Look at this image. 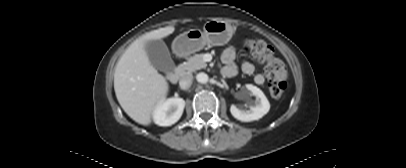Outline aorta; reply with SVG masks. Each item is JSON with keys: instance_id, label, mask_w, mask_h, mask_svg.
I'll use <instances>...</instances> for the list:
<instances>
[{"instance_id": "aorta-1", "label": "aorta", "mask_w": 406, "mask_h": 168, "mask_svg": "<svg viewBox=\"0 0 406 168\" xmlns=\"http://www.w3.org/2000/svg\"><path fill=\"white\" fill-rule=\"evenodd\" d=\"M196 79H197L198 82H200V83H202V84L208 82V76H207V74H205V73H199V74H197Z\"/></svg>"}]
</instances>
